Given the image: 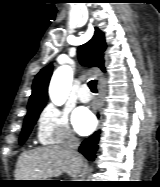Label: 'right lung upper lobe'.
I'll return each mask as SVG.
<instances>
[{"label":"right lung upper lobe","instance_id":"1","mask_svg":"<svg viewBox=\"0 0 160 187\" xmlns=\"http://www.w3.org/2000/svg\"><path fill=\"white\" fill-rule=\"evenodd\" d=\"M106 49L104 33L97 27L93 38L78 48V57L82 65L104 68V51ZM52 75V65L43 68L35 77L32 95L28 103V113L42 110L47 100V88Z\"/></svg>","mask_w":160,"mask_h":187}]
</instances>
